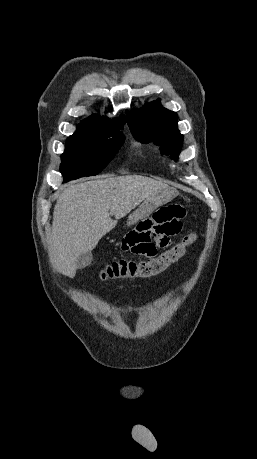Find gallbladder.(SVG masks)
Masks as SVG:
<instances>
[{
	"label": "gallbladder",
	"mask_w": 257,
	"mask_h": 459,
	"mask_svg": "<svg viewBox=\"0 0 257 459\" xmlns=\"http://www.w3.org/2000/svg\"><path fill=\"white\" fill-rule=\"evenodd\" d=\"M92 253L91 252H87V253H84V254H81L79 255V257L77 258V266L78 268H85L86 266H88L91 261H92Z\"/></svg>",
	"instance_id": "bac80fb5"
}]
</instances>
